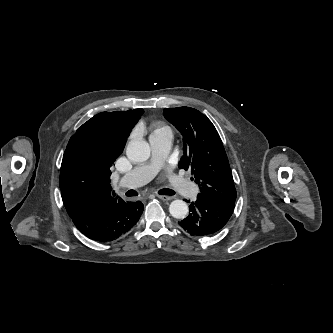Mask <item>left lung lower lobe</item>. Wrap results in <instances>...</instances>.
I'll return each instance as SVG.
<instances>
[{"label": "left lung lower lobe", "instance_id": "0a47b994", "mask_svg": "<svg viewBox=\"0 0 333 333\" xmlns=\"http://www.w3.org/2000/svg\"><path fill=\"white\" fill-rule=\"evenodd\" d=\"M190 203V201H187ZM235 203L213 201L201 194L190 203L191 213L178 224L192 236L210 235L220 230L231 217Z\"/></svg>", "mask_w": 333, "mask_h": 333}]
</instances>
